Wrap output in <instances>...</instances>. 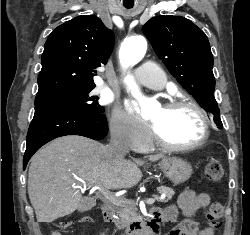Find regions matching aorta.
Masks as SVG:
<instances>
[{
    "mask_svg": "<svg viewBox=\"0 0 250 235\" xmlns=\"http://www.w3.org/2000/svg\"><path fill=\"white\" fill-rule=\"evenodd\" d=\"M146 50L147 42L145 39H131L122 44L120 55L126 64H135L144 57ZM146 112H150L149 107H146Z\"/></svg>",
    "mask_w": 250,
    "mask_h": 235,
    "instance_id": "762f6f07",
    "label": "aorta"
}]
</instances>
